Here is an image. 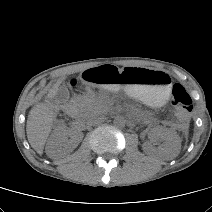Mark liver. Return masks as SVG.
<instances>
[{
    "instance_id": "1",
    "label": "liver",
    "mask_w": 212,
    "mask_h": 212,
    "mask_svg": "<svg viewBox=\"0 0 212 212\" xmlns=\"http://www.w3.org/2000/svg\"><path fill=\"white\" fill-rule=\"evenodd\" d=\"M64 79H59L49 90L47 100L34 105L28 114L26 125L27 138L32 148L40 155L43 154L45 142L56 118L53 105L50 104L49 100L55 96Z\"/></svg>"
}]
</instances>
